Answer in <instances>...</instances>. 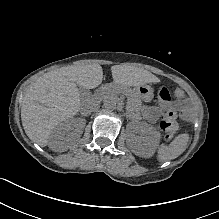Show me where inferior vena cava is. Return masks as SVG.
Masks as SVG:
<instances>
[{"label":"inferior vena cava","instance_id":"obj_1","mask_svg":"<svg viewBox=\"0 0 219 219\" xmlns=\"http://www.w3.org/2000/svg\"><path fill=\"white\" fill-rule=\"evenodd\" d=\"M82 109L85 111V113H89L90 111L96 110V109L92 108L89 103L83 104Z\"/></svg>","mask_w":219,"mask_h":219}]
</instances>
